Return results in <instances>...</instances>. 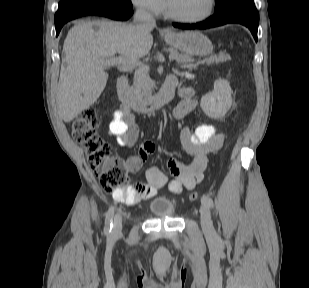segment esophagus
<instances>
[{"instance_id":"1","label":"esophagus","mask_w":309,"mask_h":288,"mask_svg":"<svg viewBox=\"0 0 309 288\" xmlns=\"http://www.w3.org/2000/svg\"><path fill=\"white\" fill-rule=\"evenodd\" d=\"M162 32H163L164 34H168V33H169V31H168L167 29H163Z\"/></svg>"}]
</instances>
